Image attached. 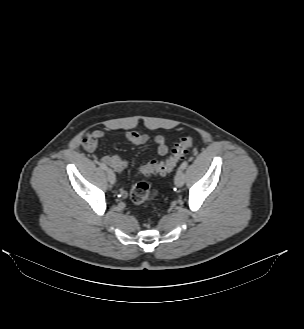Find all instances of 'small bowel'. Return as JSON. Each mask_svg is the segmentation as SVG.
Masks as SVG:
<instances>
[{"label": "small bowel", "instance_id": "obj_1", "mask_svg": "<svg viewBox=\"0 0 304 329\" xmlns=\"http://www.w3.org/2000/svg\"><path fill=\"white\" fill-rule=\"evenodd\" d=\"M104 135V131L100 129L88 133L82 141L83 148L90 153L96 152L98 150L99 142L104 137ZM125 137L131 144L137 146L143 145L149 140V136L147 134L133 130L127 131L125 133ZM153 141L156 145V151L159 155L163 156L167 154L168 146L163 136L156 135L153 138ZM101 161L105 165L110 166L117 173H121L128 166V162L116 154L104 155L101 158ZM120 191L123 195H125L124 189H120Z\"/></svg>", "mask_w": 304, "mask_h": 329}]
</instances>
